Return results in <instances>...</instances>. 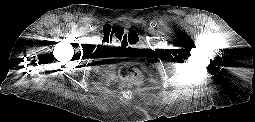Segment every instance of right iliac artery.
<instances>
[{
	"label": "right iliac artery",
	"instance_id": "1",
	"mask_svg": "<svg viewBox=\"0 0 255 122\" xmlns=\"http://www.w3.org/2000/svg\"><path fill=\"white\" fill-rule=\"evenodd\" d=\"M85 29H86V30L91 29V25H89V24L85 25Z\"/></svg>",
	"mask_w": 255,
	"mask_h": 122
}]
</instances>
